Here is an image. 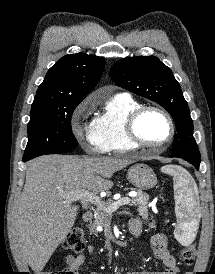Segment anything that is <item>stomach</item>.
Listing matches in <instances>:
<instances>
[{"label": "stomach", "mask_w": 215, "mask_h": 274, "mask_svg": "<svg viewBox=\"0 0 215 274\" xmlns=\"http://www.w3.org/2000/svg\"><path fill=\"white\" fill-rule=\"evenodd\" d=\"M127 179L140 190L151 189L157 184L153 170L143 163L131 166L127 172Z\"/></svg>", "instance_id": "obj_1"}]
</instances>
